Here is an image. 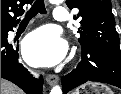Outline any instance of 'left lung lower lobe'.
<instances>
[{
	"label": "left lung lower lobe",
	"instance_id": "obj_1",
	"mask_svg": "<svg viewBox=\"0 0 121 94\" xmlns=\"http://www.w3.org/2000/svg\"><path fill=\"white\" fill-rule=\"evenodd\" d=\"M108 83L121 88V50L107 46L82 49L77 68L62 77L63 94L87 82Z\"/></svg>",
	"mask_w": 121,
	"mask_h": 94
}]
</instances>
